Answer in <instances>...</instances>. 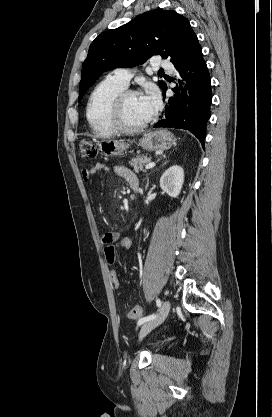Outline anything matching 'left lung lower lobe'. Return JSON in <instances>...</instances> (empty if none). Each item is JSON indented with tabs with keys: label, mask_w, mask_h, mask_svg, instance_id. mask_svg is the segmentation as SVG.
<instances>
[{
	"label": "left lung lower lobe",
	"mask_w": 272,
	"mask_h": 417,
	"mask_svg": "<svg viewBox=\"0 0 272 417\" xmlns=\"http://www.w3.org/2000/svg\"><path fill=\"white\" fill-rule=\"evenodd\" d=\"M181 77L189 80L188 88L183 90L179 99L178 87L172 90L176 96L170 97L165 117L154 127L185 129L192 132L202 143L206 137V125L210 118L212 103L211 78L202 56L201 47H197L184 59L174 64ZM165 92L166 85L163 87Z\"/></svg>",
	"instance_id": "obj_1"
}]
</instances>
